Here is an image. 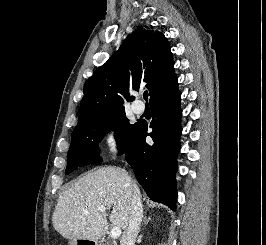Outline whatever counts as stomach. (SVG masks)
I'll list each match as a JSON object with an SVG mask.
<instances>
[{
    "mask_svg": "<svg viewBox=\"0 0 266 245\" xmlns=\"http://www.w3.org/2000/svg\"><path fill=\"white\" fill-rule=\"evenodd\" d=\"M72 245H78V241H73ZM94 245H96L95 241H94Z\"/></svg>",
    "mask_w": 266,
    "mask_h": 245,
    "instance_id": "stomach-1",
    "label": "stomach"
}]
</instances>
